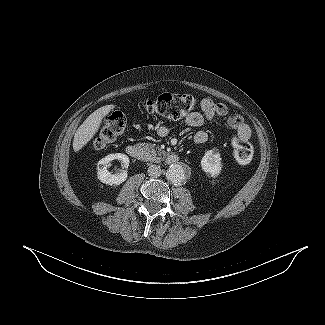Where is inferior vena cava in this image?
<instances>
[{"label": "inferior vena cava", "mask_w": 325, "mask_h": 325, "mask_svg": "<svg viewBox=\"0 0 325 325\" xmlns=\"http://www.w3.org/2000/svg\"><path fill=\"white\" fill-rule=\"evenodd\" d=\"M161 173V168L158 165H151L148 168V175L151 177H158Z\"/></svg>", "instance_id": "obj_1"}]
</instances>
